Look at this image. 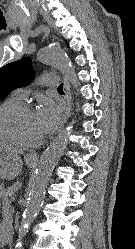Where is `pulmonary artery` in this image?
Returning <instances> with one entry per match:
<instances>
[{"instance_id":"obj_1","label":"pulmonary artery","mask_w":135,"mask_h":249,"mask_svg":"<svg viewBox=\"0 0 135 249\" xmlns=\"http://www.w3.org/2000/svg\"><path fill=\"white\" fill-rule=\"evenodd\" d=\"M58 77L49 73L43 74L39 78V83L43 87L54 88L58 85ZM29 94V89L19 88L15 90L14 95L19 99H24Z\"/></svg>"}]
</instances>
